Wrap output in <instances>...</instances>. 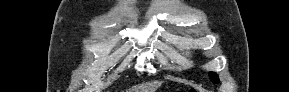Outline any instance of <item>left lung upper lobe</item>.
Wrapping results in <instances>:
<instances>
[{"label":"left lung upper lobe","instance_id":"5c2ea615","mask_svg":"<svg viewBox=\"0 0 289 92\" xmlns=\"http://www.w3.org/2000/svg\"><path fill=\"white\" fill-rule=\"evenodd\" d=\"M209 76H210V79H211V81H212L213 83L219 82L218 76H217L215 73L210 72V73H209Z\"/></svg>","mask_w":289,"mask_h":92}]
</instances>
